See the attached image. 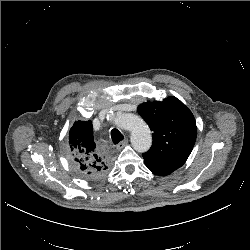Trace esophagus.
<instances>
[{
    "label": "esophagus",
    "mask_w": 250,
    "mask_h": 250,
    "mask_svg": "<svg viewBox=\"0 0 250 250\" xmlns=\"http://www.w3.org/2000/svg\"><path fill=\"white\" fill-rule=\"evenodd\" d=\"M127 143H128V139L127 138H125L123 141H121L118 145H117V149H122V148H124L126 145H127Z\"/></svg>",
    "instance_id": "1"
}]
</instances>
